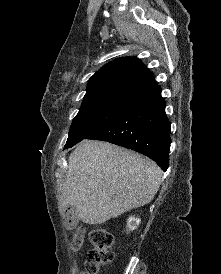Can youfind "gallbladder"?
Masks as SVG:
<instances>
[{"mask_svg": "<svg viewBox=\"0 0 221 274\" xmlns=\"http://www.w3.org/2000/svg\"><path fill=\"white\" fill-rule=\"evenodd\" d=\"M68 215H69V219L71 220V222L76 225L79 221V217H78L76 208L71 206L68 211Z\"/></svg>", "mask_w": 221, "mask_h": 274, "instance_id": "bac80fb5", "label": "gallbladder"}]
</instances>
